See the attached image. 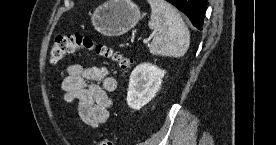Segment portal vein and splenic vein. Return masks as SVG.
I'll return each mask as SVG.
<instances>
[{"mask_svg": "<svg viewBox=\"0 0 276 145\" xmlns=\"http://www.w3.org/2000/svg\"><path fill=\"white\" fill-rule=\"evenodd\" d=\"M143 44H145V45H146V44H149V40L144 39V40H143Z\"/></svg>", "mask_w": 276, "mask_h": 145, "instance_id": "portal-vein-and-splenic-vein-1", "label": "portal vein and splenic vein"}]
</instances>
